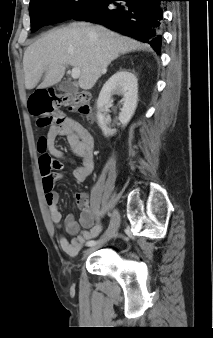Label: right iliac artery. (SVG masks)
Listing matches in <instances>:
<instances>
[{"label": "right iliac artery", "mask_w": 213, "mask_h": 338, "mask_svg": "<svg viewBox=\"0 0 213 338\" xmlns=\"http://www.w3.org/2000/svg\"><path fill=\"white\" fill-rule=\"evenodd\" d=\"M98 242L95 240H90L87 242V246H95Z\"/></svg>", "instance_id": "obj_1"}]
</instances>
